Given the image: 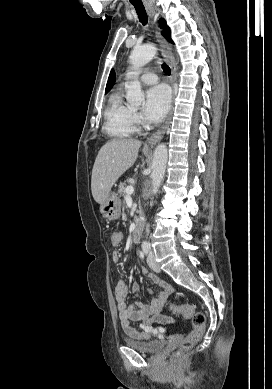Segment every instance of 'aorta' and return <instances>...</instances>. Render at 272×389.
<instances>
[{
	"instance_id": "obj_1",
	"label": "aorta",
	"mask_w": 272,
	"mask_h": 389,
	"mask_svg": "<svg viewBox=\"0 0 272 389\" xmlns=\"http://www.w3.org/2000/svg\"><path fill=\"white\" fill-rule=\"evenodd\" d=\"M157 49L154 45H143L134 47L129 60L134 71L146 65L156 55ZM135 80L127 86L126 99L131 105L139 106L144 100V94L141 90V83L138 80V73L135 72ZM168 158L167 147L164 143L158 144L154 150L152 161V188L158 190L165 175L166 164Z\"/></svg>"
}]
</instances>
